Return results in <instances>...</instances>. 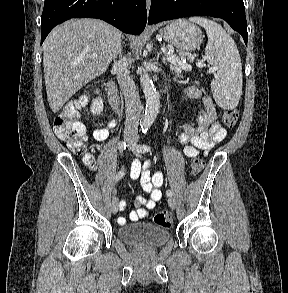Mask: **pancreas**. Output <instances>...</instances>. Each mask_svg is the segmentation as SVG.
Segmentation results:
<instances>
[{"label":"pancreas","mask_w":288,"mask_h":293,"mask_svg":"<svg viewBox=\"0 0 288 293\" xmlns=\"http://www.w3.org/2000/svg\"><path fill=\"white\" fill-rule=\"evenodd\" d=\"M170 68L173 73L177 74L178 76H182V71L184 70L183 68L178 67L175 64H170Z\"/></svg>","instance_id":"pancreas-1"}]
</instances>
